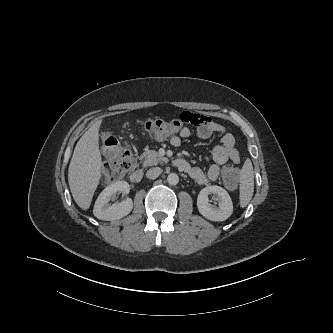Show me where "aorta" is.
Wrapping results in <instances>:
<instances>
[{"label": "aorta", "mask_w": 333, "mask_h": 333, "mask_svg": "<svg viewBox=\"0 0 333 333\" xmlns=\"http://www.w3.org/2000/svg\"><path fill=\"white\" fill-rule=\"evenodd\" d=\"M167 182L170 185H177L179 182V177L176 173H170L167 177Z\"/></svg>", "instance_id": "762f6f07"}]
</instances>
